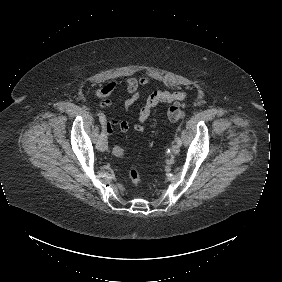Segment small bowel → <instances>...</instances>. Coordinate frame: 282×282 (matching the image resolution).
Segmentation results:
<instances>
[{
	"instance_id": "obj_1",
	"label": "small bowel",
	"mask_w": 282,
	"mask_h": 282,
	"mask_svg": "<svg viewBox=\"0 0 282 282\" xmlns=\"http://www.w3.org/2000/svg\"><path fill=\"white\" fill-rule=\"evenodd\" d=\"M151 78L149 76H140V77H129L124 81L129 97L124 101L123 108L128 112L133 105L137 102L140 97L141 89L149 84ZM119 81L112 80L102 86L95 92V95L101 99L100 106L101 108H110L112 102L108 97L112 92L117 88ZM185 93L182 91H170L167 89H156L146 98L143 106L138 112L137 122L132 124V128L138 132L145 130V122L148 120L152 110L159 104H172L179 105L181 101L185 99ZM114 128H118L122 133H127L131 125L128 121L123 119H112L108 121L104 130L106 133H111Z\"/></svg>"
}]
</instances>
